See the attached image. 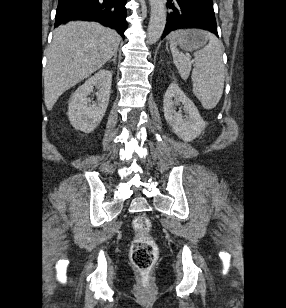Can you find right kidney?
Segmentation results:
<instances>
[{
	"label": "right kidney",
	"instance_id": "1",
	"mask_svg": "<svg viewBox=\"0 0 286 308\" xmlns=\"http://www.w3.org/2000/svg\"><path fill=\"white\" fill-rule=\"evenodd\" d=\"M112 83V72L107 69L98 71L81 85L71 96L68 118L72 126L85 133L92 132L102 121L106 112ZM97 87V101L88 104V95Z\"/></svg>",
	"mask_w": 286,
	"mask_h": 308
}]
</instances>
